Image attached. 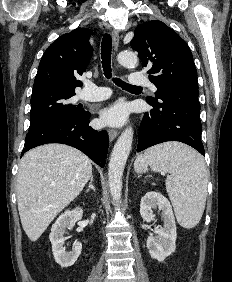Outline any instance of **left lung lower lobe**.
<instances>
[{
	"mask_svg": "<svg viewBox=\"0 0 232 282\" xmlns=\"http://www.w3.org/2000/svg\"><path fill=\"white\" fill-rule=\"evenodd\" d=\"M147 102L153 108L141 122L137 152L162 142L179 141L205 155L198 89L166 87L156 101Z\"/></svg>",
	"mask_w": 232,
	"mask_h": 282,
	"instance_id": "left-lung-lower-lobe-1",
	"label": "left lung lower lobe"
}]
</instances>
